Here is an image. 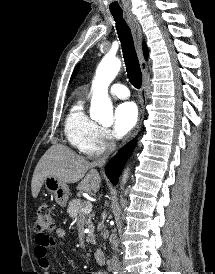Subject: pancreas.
I'll return each instance as SVG.
<instances>
[{
  "instance_id": "cf45deb5",
  "label": "pancreas",
  "mask_w": 215,
  "mask_h": 274,
  "mask_svg": "<svg viewBox=\"0 0 215 274\" xmlns=\"http://www.w3.org/2000/svg\"><path fill=\"white\" fill-rule=\"evenodd\" d=\"M85 205V202L80 199H74L69 202L67 212L72 219H78V221L84 222L90 229V233L86 237L88 243L95 244V235H94V226L91 222L92 215L89 213L82 212V208Z\"/></svg>"
}]
</instances>
